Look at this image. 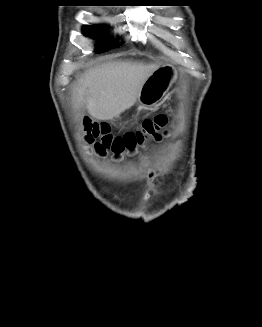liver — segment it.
Instances as JSON below:
<instances>
[{
  "label": "liver",
  "mask_w": 262,
  "mask_h": 327,
  "mask_svg": "<svg viewBox=\"0 0 262 327\" xmlns=\"http://www.w3.org/2000/svg\"><path fill=\"white\" fill-rule=\"evenodd\" d=\"M158 63L111 61L89 69L74 88L76 106L97 120H112L132 107Z\"/></svg>",
  "instance_id": "obj_1"
}]
</instances>
